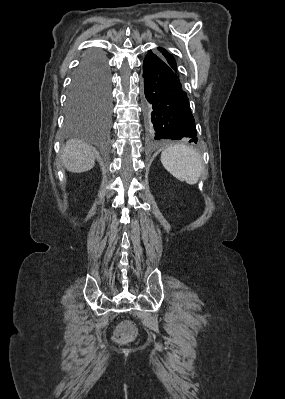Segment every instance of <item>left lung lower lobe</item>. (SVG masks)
I'll return each mask as SVG.
<instances>
[{"mask_svg":"<svg viewBox=\"0 0 285 399\" xmlns=\"http://www.w3.org/2000/svg\"><path fill=\"white\" fill-rule=\"evenodd\" d=\"M144 108L152 140L189 138L197 142V131L179 75L163 55L149 51L143 62Z\"/></svg>","mask_w":285,"mask_h":399,"instance_id":"1","label":"left lung lower lobe"}]
</instances>
